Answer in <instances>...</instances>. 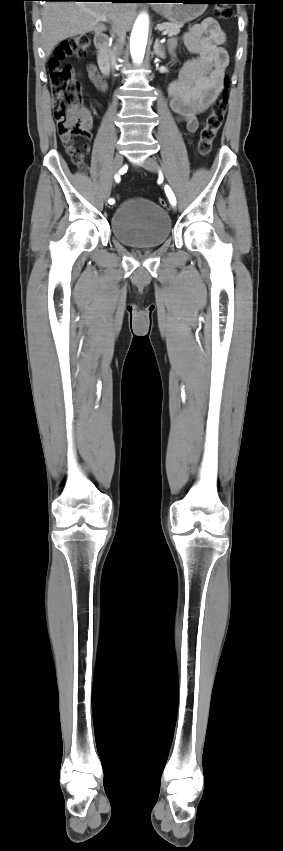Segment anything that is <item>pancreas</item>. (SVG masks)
I'll return each mask as SVG.
<instances>
[{
    "mask_svg": "<svg viewBox=\"0 0 283 851\" xmlns=\"http://www.w3.org/2000/svg\"><path fill=\"white\" fill-rule=\"evenodd\" d=\"M182 26V24L164 22L162 24H158L157 29L165 30L168 36L172 37L180 33Z\"/></svg>",
    "mask_w": 283,
    "mask_h": 851,
    "instance_id": "cf45deb5",
    "label": "pancreas"
}]
</instances>
